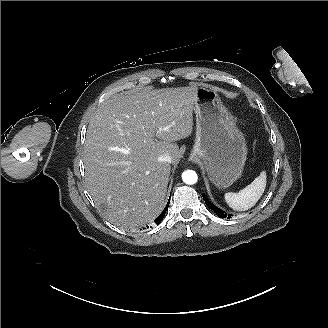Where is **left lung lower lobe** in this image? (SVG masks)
Instances as JSON below:
<instances>
[{"instance_id":"0a47b994","label":"left lung lower lobe","mask_w":328,"mask_h":328,"mask_svg":"<svg viewBox=\"0 0 328 328\" xmlns=\"http://www.w3.org/2000/svg\"><path fill=\"white\" fill-rule=\"evenodd\" d=\"M203 199L205 201V203L207 204V206L213 210L216 215L220 218H224V217H228L231 218V215H227L224 211H222L221 209L217 208L216 206H214L204 195H203Z\"/></svg>"}]
</instances>
